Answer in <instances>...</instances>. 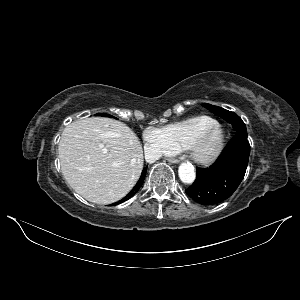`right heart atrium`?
I'll return each mask as SVG.
<instances>
[{
	"label": "right heart atrium",
	"instance_id": "right-heart-atrium-1",
	"mask_svg": "<svg viewBox=\"0 0 300 300\" xmlns=\"http://www.w3.org/2000/svg\"><path fill=\"white\" fill-rule=\"evenodd\" d=\"M143 139L147 154L152 158H160L175 153L161 128L148 127L143 133Z\"/></svg>",
	"mask_w": 300,
	"mask_h": 300
}]
</instances>
